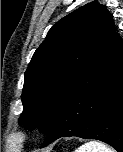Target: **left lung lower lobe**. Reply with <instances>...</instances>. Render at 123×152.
Listing matches in <instances>:
<instances>
[{"label":"left lung lower lobe","mask_w":123,"mask_h":152,"mask_svg":"<svg viewBox=\"0 0 123 152\" xmlns=\"http://www.w3.org/2000/svg\"><path fill=\"white\" fill-rule=\"evenodd\" d=\"M70 136L123 152V41L116 32L58 106L41 147Z\"/></svg>","instance_id":"left-lung-lower-lobe-1"}]
</instances>
